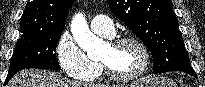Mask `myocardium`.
I'll return each instance as SVG.
<instances>
[{
    "mask_svg": "<svg viewBox=\"0 0 205 87\" xmlns=\"http://www.w3.org/2000/svg\"><path fill=\"white\" fill-rule=\"evenodd\" d=\"M124 44H134L141 50L143 55V63L139 68V70L128 75H118L114 73L106 63H104L103 61H99L100 66L104 74L106 75V77L111 81L118 82V83H129L138 80L147 72L150 66V52L148 47L142 40L136 37L126 36V37L116 38L110 41V45L112 47H119Z\"/></svg>",
    "mask_w": 205,
    "mask_h": 87,
    "instance_id": "1",
    "label": "myocardium"
}]
</instances>
